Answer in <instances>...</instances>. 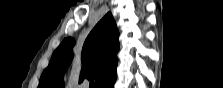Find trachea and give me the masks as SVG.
<instances>
[{"label": "trachea", "instance_id": "trachea-1", "mask_svg": "<svg viewBox=\"0 0 223 88\" xmlns=\"http://www.w3.org/2000/svg\"><path fill=\"white\" fill-rule=\"evenodd\" d=\"M90 88H93L94 87V82L91 81L90 84H89Z\"/></svg>", "mask_w": 223, "mask_h": 88}]
</instances>
